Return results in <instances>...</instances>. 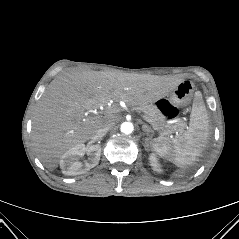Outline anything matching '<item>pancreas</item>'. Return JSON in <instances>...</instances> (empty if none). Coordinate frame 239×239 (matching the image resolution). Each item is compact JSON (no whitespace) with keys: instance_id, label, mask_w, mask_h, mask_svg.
Masks as SVG:
<instances>
[{"instance_id":"obj_1","label":"pancreas","mask_w":239,"mask_h":239,"mask_svg":"<svg viewBox=\"0 0 239 239\" xmlns=\"http://www.w3.org/2000/svg\"><path fill=\"white\" fill-rule=\"evenodd\" d=\"M141 111L149 118L151 119V123L154 129L162 130L164 131V134H167L171 132V126L165 124V117L161 113V111L153 106V105H147L141 108ZM179 125H183V122H180Z\"/></svg>"}]
</instances>
